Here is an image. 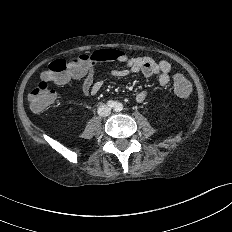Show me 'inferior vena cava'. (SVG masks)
<instances>
[{
  "label": "inferior vena cava",
  "mask_w": 232,
  "mask_h": 232,
  "mask_svg": "<svg viewBox=\"0 0 232 232\" xmlns=\"http://www.w3.org/2000/svg\"><path fill=\"white\" fill-rule=\"evenodd\" d=\"M97 112L99 116L106 117L111 113V109L107 105H100Z\"/></svg>",
  "instance_id": "inferior-vena-cava-1"
}]
</instances>
